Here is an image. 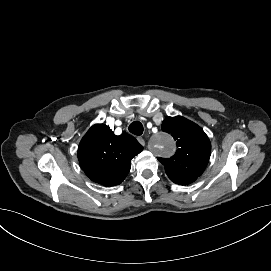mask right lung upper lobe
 <instances>
[{"mask_svg": "<svg viewBox=\"0 0 271 271\" xmlns=\"http://www.w3.org/2000/svg\"><path fill=\"white\" fill-rule=\"evenodd\" d=\"M143 146L131 135H114L104 124H96L78 147L79 163L86 175L105 186L120 184L131 168V159Z\"/></svg>", "mask_w": 271, "mask_h": 271, "instance_id": "cb5924a9", "label": "right lung upper lobe"}]
</instances>
